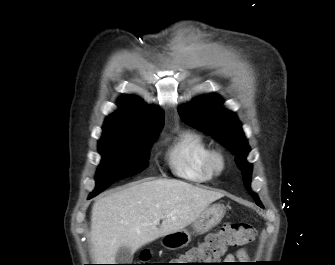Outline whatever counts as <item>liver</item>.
I'll use <instances>...</instances> for the list:
<instances>
[{
    "mask_svg": "<svg viewBox=\"0 0 335 265\" xmlns=\"http://www.w3.org/2000/svg\"><path fill=\"white\" fill-rule=\"evenodd\" d=\"M223 196L184 181L158 179L135 182L99 198L91 212L95 262L114 264L121 246L134 253L159 237L184 229Z\"/></svg>",
    "mask_w": 335,
    "mask_h": 265,
    "instance_id": "liver-1",
    "label": "liver"
}]
</instances>
